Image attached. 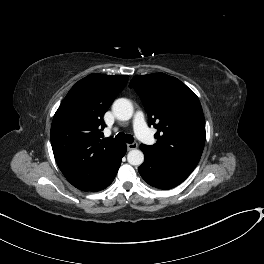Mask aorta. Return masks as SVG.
Here are the masks:
<instances>
[{"instance_id":"aorta-1","label":"aorta","mask_w":264,"mask_h":264,"mask_svg":"<svg viewBox=\"0 0 264 264\" xmlns=\"http://www.w3.org/2000/svg\"><path fill=\"white\" fill-rule=\"evenodd\" d=\"M112 111L117 119L127 121L133 115V106L128 99L119 98L114 101ZM127 161L131 165L139 166L144 162V154L138 149H133L128 153Z\"/></svg>"}]
</instances>
